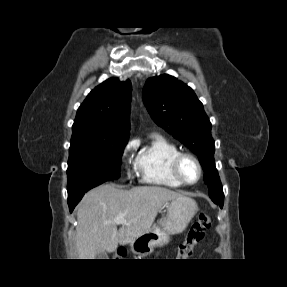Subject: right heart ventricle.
I'll use <instances>...</instances> for the list:
<instances>
[{
    "instance_id": "e07e8e85",
    "label": "right heart ventricle",
    "mask_w": 287,
    "mask_h": 287,
    "mask_svg": "<svg viewBox=\"0 0 287 287\" xmlns=\"http://www.w3.org/2000/svg\"><path fill=\"white\" fill-rule=\"evenodd\" d=\"M180 153V148L173 142L159 135L152 136L135 160V168L142 182L170 188L181 187L182 184L172 173V162Z\"/></svg>"
}]
</instances>
